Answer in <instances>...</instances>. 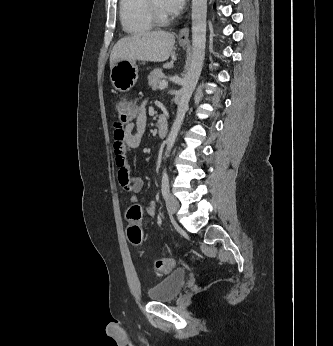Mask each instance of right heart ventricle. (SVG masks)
<instances>
[{
  "label": "right heart ventricle",
  "instance_id": "1",
  "mask_svg": "<svg viewBox=\"0 0 333 346\" xmlns=\"http://www.w3.org/2000/svg\"><path fill=\"white\" fill-rule=\"evenodd\" d=\"M119 17L123 30L129 34L147 32L154 26L147 0H120Z\"/></svg>",
  "mask_w": 333,
  "mask_h": 346
}]
</instances>
